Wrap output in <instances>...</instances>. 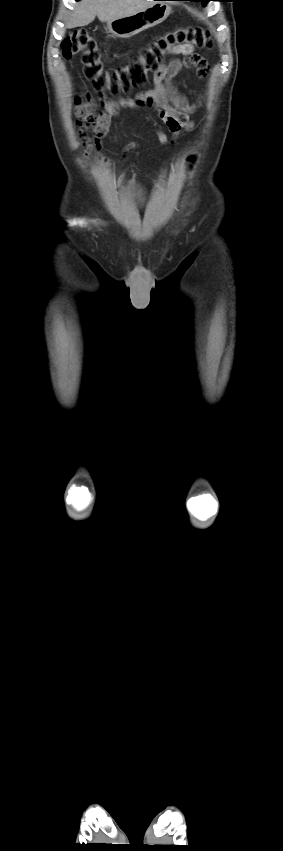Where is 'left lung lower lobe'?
<instances>
[{
	"instance_id": "1",
	"label": "left lung lower lobe",
	"mask_w": 283,
	"mask_h": 851,
	"mask_svg": "<svg viewBox=\"0 0 283 851\" xmlns=\"http://www.w3.org/2000/svg\"><path fill=\"white\" fill-rule=\"evenodd\" d=\"M175 1H184V0H175ZM190 1H192V0H190Z\"/></svg>"
}]
</instances>
